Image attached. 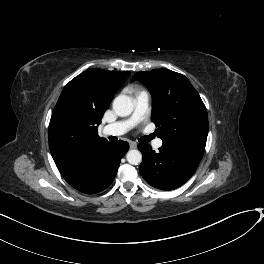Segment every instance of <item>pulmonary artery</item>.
Instances as JSON below:
<instances>
[{
    "label": "pulmonary artery",
    "mask_w": 264,
    "mask_h": 264,
    "mask_svg": "<svg viewBox=\"0 0 264 264\" xmlns=\"http://www.w3.org/2000/svg\"><path fill=\"white\" fill-rule=\"evenodd\" d=\"M134 103V111L128 119L105 126L103 128V132L107 135L119 136L126 133L137 123L142 121L145 118L149 109L150 96L148 92H138L135 95ZM162 143V140L158 138L154 141L153 145L155 148H160L162 146Z\"/></svg>",
    "instance_id": "obj_1"
}]
</instances>
